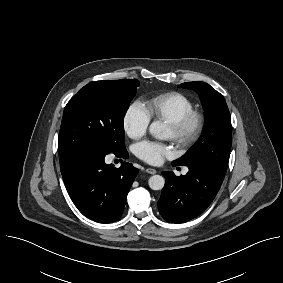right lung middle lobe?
<instances>
[{
    "instance_id": "1",
    "label": "right lung middle lobe",
    "mask_w": 283,
    "mask_h": 283,
    "mask_svg": "<svg viewBox=\"0 0 283 283\" xmlns=\"http://www.w3.org/2000/svg\"><path fill=\"white\" fill-rule=\"evenodd\" d=\"M139 86L137 79L90 82L67 103L62 118L60 161L89 148L117 152L125 148L124 116Z\"/></svg>"
}]
</instances>
